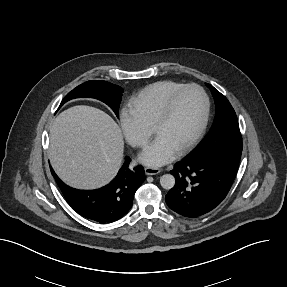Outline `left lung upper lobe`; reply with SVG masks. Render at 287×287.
Segmentation results:
<instances>
[{
  "mask_svg": "<svg viewBox=\"0 0 287 287\" xmlns=\"http://www.w3.org/2000/svg\"><path fill=\"white\" fill-rule=\"evenodd\" d=\"M207 86L211 89L216 104L214 123L206 138L188 156L242 153V136L233 107L212 85L207 84Z\"/></svg>",
  "mask_w": 287,
  "mask_h": 287,
  "instance_id": "1",
  "label": "left lung upper lobe"
}]
</instances>
